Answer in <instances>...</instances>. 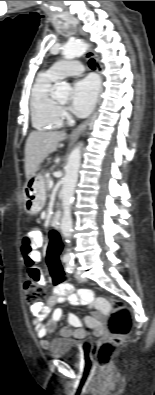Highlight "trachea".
Returning a JSON list of instances; mask_svg holds the SVG:
<instances>
[{
    "instance_id": "1",
    "label": "trachea",
    "mask_w": 155,
    "mask_h": 395,
    "mask_svg": "<svg viewBox=\"0 0 155 395\" xmlns=\"http://www.w3.org/2000/svg\"><path fill=\"white\" fill-rule=\"evenodd\" d=\"M88 65L91 69H95V60L94 59H90L88 62Z\"/></svg>"
}]
</instances>
